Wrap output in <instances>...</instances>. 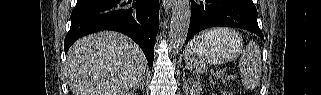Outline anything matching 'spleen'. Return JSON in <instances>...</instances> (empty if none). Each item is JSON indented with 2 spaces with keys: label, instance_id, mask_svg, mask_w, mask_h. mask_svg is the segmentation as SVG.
<instances>
[{
  "label": "spleen",
  "instance_id": "3e777b00",
  "mask_svg": "<svg viewBox=\"0 0 321 95\" xmlns=\"http://www.w3.org/2000/svg\"><path fill=\"white\" fill-rule=\"evenodd\" d=\"M230 30L224 28L212 29L202 32L194 38V42L200 38L206 41L216 42L226 36ZM189 69L196 73H203L207 70L204 64L197 61L187 60ZM242 84L247 89H254L258 86L261 78L262 61L259 46L251 41L239 60Z\"/></svg>",
  "mask_w": 321,
  "mask_h": 95
}]
</instances>
